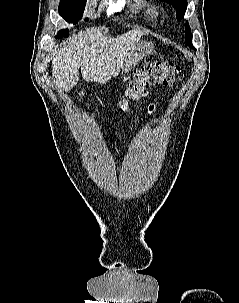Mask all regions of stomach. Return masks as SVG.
Masks as SVG:
<instances>
[{
    "instance_id": "0dacf381",
    "label": "stomach",
    "mask_w": 239,
    "mask_h": 303,
    "mask_svg": "<svg viewBox=\"0 0 239 303\" xmlns=\"http://www.w3.org/2000/svg\"><path fill=\"white\" fill-rule=\"evenodd\" d=\"M152 51V45L148 42H141L131 50L123 63L122 71H129L134 68L146 55Z\"/></svg>"
}]
</instances>
